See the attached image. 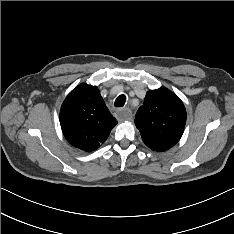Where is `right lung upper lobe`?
<instances>
[{"instance_id":"obj_1","label":"right lung upper lobe","mask_w":234,"mask_h":234,"mask_svg":"<svg viewBox=\"0 0 234 234\" xmlns=\"http://www.w3.org/2000/svg\"><path fill=\"white\" fill-rule=\"evenodd\" d=\"M60 124L72 146L93 151L106 141L117 120L106 107L99 89L82 83L64 100Z\"/></svg>"}]
</instances>
